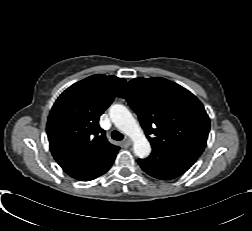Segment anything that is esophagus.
<instances>
[{"label": "esophagus", "mask_w": 252, "mask_h": 231, "mask_svg": "<svg viewBox=\"0 0 252 231\" xmlns=\"http://www.w3.org/2000/svg\"><path fill=\"white\" fill-rule=\"evenodd\" d=\"M123 143L125 144V145H127V146H129V145H131V139L128 137V136H126L125 138H124V140H123Z\"/></svg>", "instance_id": "esophagus-1"}]
</instances>
